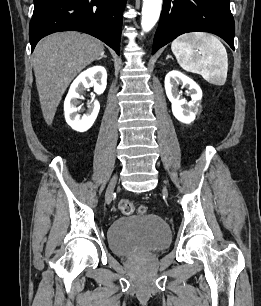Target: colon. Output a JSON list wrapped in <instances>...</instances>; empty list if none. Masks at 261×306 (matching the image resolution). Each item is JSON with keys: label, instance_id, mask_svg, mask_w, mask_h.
Segmentation results:
<instances>
[{"label": "colon", "instance_id": "obj_1", "mask_svg": "<svg viewBox=\"0 0 261 306\" xmlns=\"http://www.w3.org/2000/svg\"><path fill=\"white\" fill-rule=\"evenodd\" d=\"M120 211L125 215H133L136 213H145L146 208L144 206H136L129 200H122L119 204Z\"/></svg>", "mask_w": 261, "mask_h": 306}]
</instances>
